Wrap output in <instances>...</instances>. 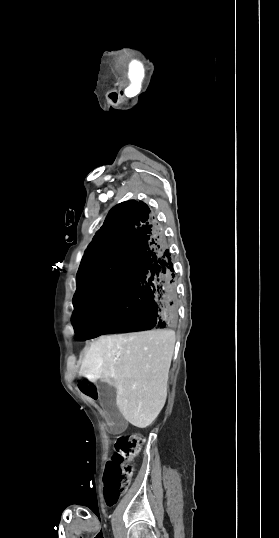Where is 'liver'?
Instances as JSON below:
<instances>
[{"label":"liver","mask_w":279,"mask_h":538,"mask_svg":"<svg viewBox=\"0 0 279 538\" xmlns=\"http://www.w3.org/2000/svg\"><path fill=\"white\" fill-rule=\"evenodd\" d=\"M174 346V330L101 336L91 344L79 376L114 386L123 418L136 428H147L166 402Z\"/></svg>","instance_id":"6515ba94"}]
</instances>
